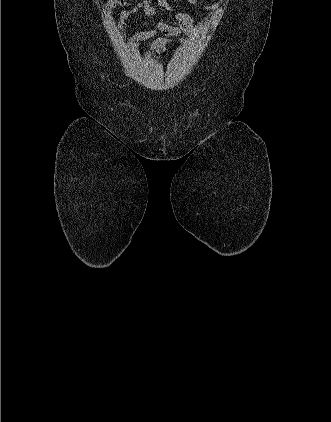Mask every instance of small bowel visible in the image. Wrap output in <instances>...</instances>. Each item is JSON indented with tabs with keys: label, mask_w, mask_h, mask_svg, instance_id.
<instances>
[{
	"label": "small bowel",
	"mask_w": 331,
	"mask_h": 422,
	"mask_svg": "<svg viewBox=\"0 0 331 422\" xmlns=\"http://www.w3.org/2000/svg\"><path fill=\"white\" fill-rule=\"evenodd\" d=\"M199 8H203L212 11V17L206 20L208 23L216 15V11L222 7V2H216L213 4H206L201 0H187ZM159 7L165 9L171 13L177 21V26L171 25L158 18L157 10L152 4V0H107L105 6L108 11L107 26L110 27L115 20L113 11L117 7H129L123 10L117 19L115 33L119 34L124 28L125 23L129 17L137 13H142L150 21L152 28L145 31H140L132 36L134 43H139L143 40L153 38L157 33H160L162 37L157 38L151 43L147 49L150 50L155 58H160L165 54L167 46L174 42L175 39L184 32L186 35H191L200 30L199 27L195 26L193 19L186 12L175 11L167 0H157Z\"/></svg>",
	"instance_id": "obj_1"
}]
</instances>
